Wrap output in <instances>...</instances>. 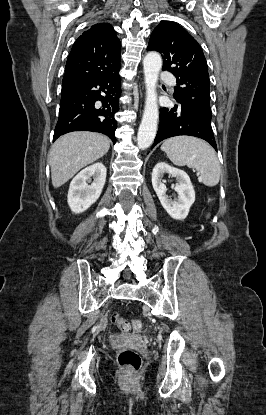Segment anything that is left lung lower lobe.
Instances as JSON below:
<instances>
[{"label": "left lung lower lobe", "instance_id": "left-lung-lower-lobe-1", "mask_svg": "<svg viewBox=\"0 0 266 415\" xmlns=\"http://www.w3.org/2000/svg\"><path fill=\"white\" fill-rule=\"evenodd\" d=\"M178 135L202 138L209 142L217 151L213 130L210 125L179 104H176L173 108H162L159 129L152 148L162 140Z\"/></svg>", "mask_w": 266, "mask_h": 415}]
</instances>
